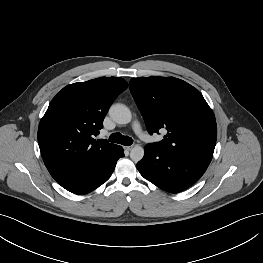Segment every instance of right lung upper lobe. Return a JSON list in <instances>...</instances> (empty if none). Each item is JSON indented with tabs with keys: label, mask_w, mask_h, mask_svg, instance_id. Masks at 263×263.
<instances>
[{
	"label": "right lung upper lobe",
	"mask_w": 263,
	"mask_h": 263,
	"mask_svg": "<svg viewBox=\"0 0 263 263\" xmlns=\"http://www.w3.org/2000/svg\"><path fill=\"white\" fill-rule=\"evenodd\" d=\"M127 87L122 78H96L70 84L52 99L38 127V144L45 166L60 185L118 148L94 136L114 99Z\"/></svg>",
	"instance_id": "1"
}]
</instances>
